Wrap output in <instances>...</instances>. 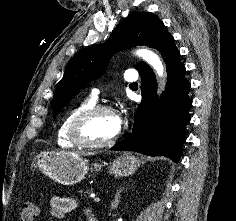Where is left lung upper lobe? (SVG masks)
Returning a JSON list of instances; mask_svg holds the SVG:
<instances>
[{"label": "left lung upper lobe", "instance_id": "left-lung-upper-lobe-1", "mask_svg": "<svg viewBox=\"0 0 236 221\" xmlns=\"http://www.w3.org/2000/svg\"><path fill=\"white\" fill-rule=\"evenodd\" d=\"M167 31L162 21L149 12H132L121 22L110 39L102 44L78 52L68 63L64 76L53 97L55 113L86 84L100 77L108 66L110 56L118 50L146 45L154 48L158 39ZM145 63L139 62L135 69Z\"/></svg>", "mask_w": 236, "mask_h": 221}]
</instances>
